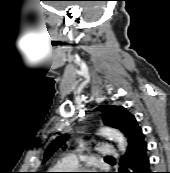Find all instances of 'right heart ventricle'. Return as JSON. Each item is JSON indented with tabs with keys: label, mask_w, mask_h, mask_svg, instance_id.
Listing matches in <instances>:
<instances>
[{
	"label": "right heart ventricle",
	"mask_w": 170,
	"mask_h": 173,
	"mask_svg": "<svg viewBox=\"0 0 170 173\" xmlns=\"http://www.w3.org/2000/svg\"><path fill=\"white\" fill-rule=\"evenodd\" d=\"M58 167L61 168V169H71V168H74L70 165L69 163V158L67 157H64L62 158L59 163H58Z\"/></svg>",
	"instance_id": "right-heart-ventricle-1"
}]
</instances>
